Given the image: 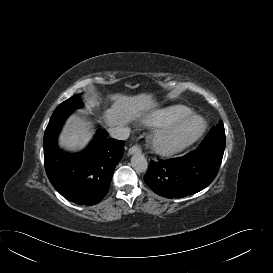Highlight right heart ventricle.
I'll list each match as a JSON object with an SVG mask.
<instances>
[{
  "mask_svg": "<svg viewBox=\"0 0 273 273\" xmlns=\"http://www.w3.org/2000/svg\"><path fill=\"white\" fill-rule=\"evenodd\" d=\"M191 110L182 105L173 106L157 112L154 115L155 126L164 127L174 125L190 115Z\"/></svg>",
  "mask_w": 273,
  "mask_h": 273,
  "instance_id": "obj_1",
  "label": "right heart ventricle"
}]
</instances>
